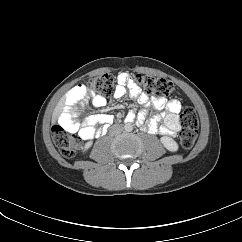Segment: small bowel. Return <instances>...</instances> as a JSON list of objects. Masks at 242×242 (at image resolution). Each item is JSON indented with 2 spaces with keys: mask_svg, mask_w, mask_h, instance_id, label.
<instances>
[{
  "mask_svg": "<svg viewBox=\"0 0 242 242\" xmlns=\"http://www.w3.org/2000/svg\"><path fill=\"white\" fill-rule=\"evenodd\" d=\"M129 93L132 98L144 106L152 105L159 112L154 114L148 123V130L152 133L158 130L168 136H173L180 128L178 114L181 111V103L176 99L167 101L164 98L155 96L150 97L142 92L140 88L130 82L125 74L118 76V85L115 88L114 96L122 98ZM89 100V96L84 87H78L66 98V106L59 117V123L69 132L78 133L83 140H90L95 136L103 134L104 128H96L99 125L109 124L112 122V117L109 115H85V107ZM92 103L97 108H102L106 105V99L102 96L95 95L92 98ZM165 109L164 111H161ZM147 115V110L144 109L138 116L139 123H142ZM133 118V116H129ZM80 118L79 121H75ZM163 120L164 126H158Z\"/></svg>",
  "mask_w": 242,
  "mask_h": 242,
  "instance_id": "1",
  "label": "small bowel"
}]
</instances>
